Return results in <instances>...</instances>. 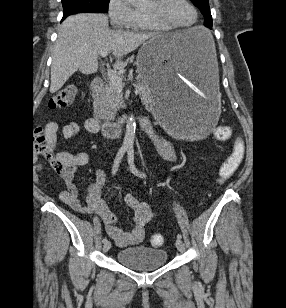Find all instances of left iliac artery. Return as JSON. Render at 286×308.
Instances as JSON below:
<instances>
[{"mask_svg": "<svg viewBox=\"0 0 286 308\" xmlns=\"http://www.w3.org/2000/svg\"><path fill=\"white\" fill-rule=\"evenodd\" d=\"M128 164L130 166L131 172L135 176L140 177V178H146V174L139 171L134 164V149L132 146L128 147ZM177 238L182 239V235L178 233Z\"/></svg>", "mask_w": 286, "mask_h": 308, "instance_id": "1", "label": "left iliac artery"}]
</instances>
